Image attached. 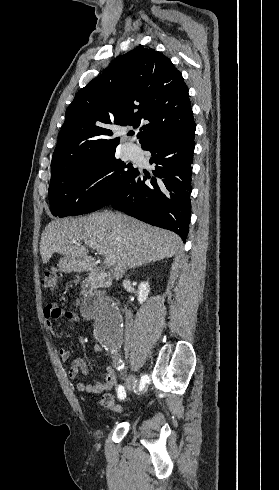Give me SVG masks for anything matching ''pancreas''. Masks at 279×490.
I'll use <instances>...</instances> for the list:
<instances>
[{"instance_id":"obj_1","label":"pancreas","mask_w":279,"mask_h":490,"mask_svg":"<svg viewBox=\"0 0 279 490\" xmlns=\"http://www.w3.org/2000/svg\"><path fill=\"white\" fill-rule=\"evenodd\" d=\"M106 282L107 274H105L104 270H91L86 280L82 282V292H80V294H83V296H90V294H93L94 290H97V288H103Z\"/></svg>"}]
</instances>
